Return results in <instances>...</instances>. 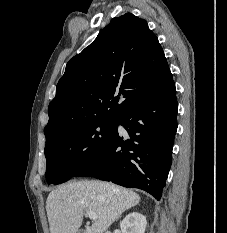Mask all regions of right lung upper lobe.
<instances>
[{"instance_id": "right-lung-upper-lobe-1", "label": "right lung upper lobe", "mask_w": 227, "mask_h": 233, "mask_svg": "<svg viewBox=\"0 0 227 233\" xmlns=\"http://www.w3.org/2000/svg\"><path fill=\"white\" fill-rule=\"evenodd\" d=\"M171 81L147 22L131 13L114 18L67 63L48 107L46 142L90 121L118 119Z\"/></svg>"}]
</instances>
